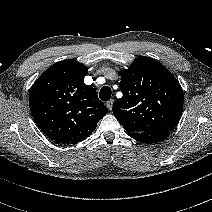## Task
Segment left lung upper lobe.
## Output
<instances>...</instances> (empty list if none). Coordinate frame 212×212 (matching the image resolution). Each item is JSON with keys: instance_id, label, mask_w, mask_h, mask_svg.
Masks as SVG:
<instances>
[{"instance_id": "left-lung-upper-lobe-1", "label": "left lung upper lobe", "mask_w": 212, "mask_h": 212, "mask_svg": "<svg viewBox=\"0 0 212 212\" xmlns=\"http://www.w3.org/2000/svg\"><path fill=\"white\" fill-rule=\"evenodd\" d=\"M123 97L113 113L129 133L175 129L183 107V90L177 79L158 61L138 57L121 71Z\"/></svg>"}]
</instances>
